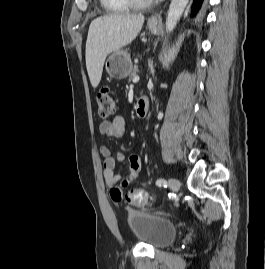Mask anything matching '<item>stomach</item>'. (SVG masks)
<instances>
[{"mask_svg": "<svg viewBox=\"0 0 265 269\" xmlns=\"http://www.w3.org/2000/svg\"><path fill=\"white\" fill-rule=\"evenodd\" d=\"M148 29L151 33L157 34L160 29L159 23L148 21ZM106 71L111 78L123 79L132 71V62L130 55L126 50L113 52L105 64Z\"/></svg>", "mask_w": 265, "mask_h": 269, "instance_id": "obj_1", "label": "stomach"}]
</instances>
